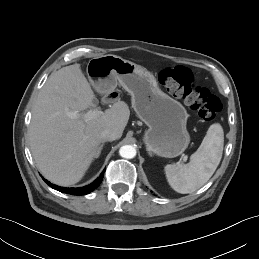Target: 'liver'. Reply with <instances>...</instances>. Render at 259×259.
I'll list each match as a JSON object with an SVG mask.
<instances>
[{
    "label": "liver",
    "mask_w": 259,
    "mask_h": 259,
    "mask_svg": "<svg viewBox=\"0 0 259 259\" xmlns=\"http://www.w3.org/2000/svg\"><path fill=\"white\" fill-rule=\"evenodd\" d=\"M94 96L77 63L52 73L37 96L29 128L30 148L37 168L52 183L69 186L83 178L97 158L103 130L122 136L130 116L122 101L91 120L82 118L80 112L95 107ZM72 112L78 116L71 117Z\"/></svg>",
    "instance_id": "6515ba94"
}]
</instances>
